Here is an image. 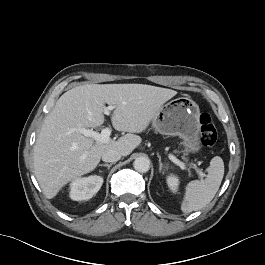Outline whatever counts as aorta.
Segmentation results:
<instances>
[{
  "mask_svg": "<svg viewBox=\"0 0 265 265\" xmlns=\"http://www.w3.org/2000/svg\"><path fill=\"white\" fill-rule=\"evenodd\" d=\"M136 171L146 173L150 169V160L147 157H137L133 163Z\"/></svg>",
  "mask_w": 265,
  "mask_h": 265,
  "instance_id": "1",
  "label": "aorta"
}]
</instances>
